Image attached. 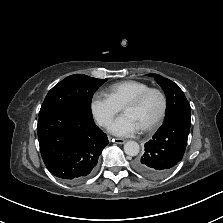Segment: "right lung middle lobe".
I'll return each mask as SVG.
<instances>
[{"label":"right lung middle lobe","mask_w":223,"mask_h":223,"mask_svg":"<svg viewBox=\"0 0 223 223\" xmlns=\"http://www.w3.org/2000/svg\"><path fill=\"white\" fill-rule=\"evenodd\" d=\"M106 81L107 79H97L83 74L65 78L48 92L39 115L58 107L74 106L92 116L93 94Z\"/></svg>","instance_id":"right-lung-middle-lobe-1"}]
</instances>
